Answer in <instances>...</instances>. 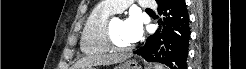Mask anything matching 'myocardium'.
Instances as JSON below:
<instances>
[{"mask_svg": "<svg viewBox=\"0 0 246 69\" xmlns=\"http://www.w3.org/2000/svg\"><path fill=\"white\" fill-rule=\"evenodd\" d=\"M112 23L113 21H109L108 26H107V30H106V39L107 42L109 44V46L113 49H117V50H124V49H131L133 47V45H129V46H123L118 44L112 35Z\"/></svg>", "mask_w": 246, "mask_h": 69, "instance_id": "f54148a6", "label": "myocardium"}]
</instances>
